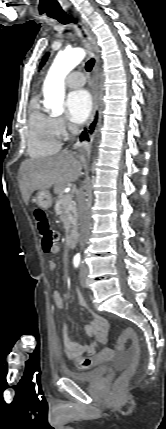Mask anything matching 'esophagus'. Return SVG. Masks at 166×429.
<instances>
[{
  "label": "esophagus",
  "instance_id": "obj_1",
  "mask_svg": "<svg viewBox=\"0 0 166 429\" xmlns=\"http://www.w3.org/2000/svg\"><path fill=\"white\" fill-rule=\"evenodd\" d=\"M82 24L85 27L86 32L88 33L90 40H91V46L93 51L95 52V64L93 67V109L88 121L87 126H89L91 124V122L93 121L97 108H98V80H99V60H100V55H99V46L97 44V40L95 35L92 33V31L90 30L88 24L85 22V20L81 19Z\"/></svg>",
  "mask_w": 166,
  "mask_h": 429
}]
</instances>
